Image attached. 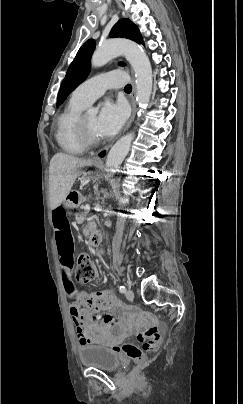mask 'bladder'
I'll return each mask as SVG.
<instances>
[{"instance_id":"obj_1","label":"bladder","mask_w":243,"mask_h":404,"mask_svg":"<svg viewBox=\"0 0 243 404\" xmlns=\"http://www.w3.org/2000/svg\"><path fill=\"white\" fill-rule=\"evenodd\" d=\"M77 352L84 367L108 372L118 371L121 367L119 356L108 347L95 344H80L77 347Z\"/></svg>"}]
</instances>
